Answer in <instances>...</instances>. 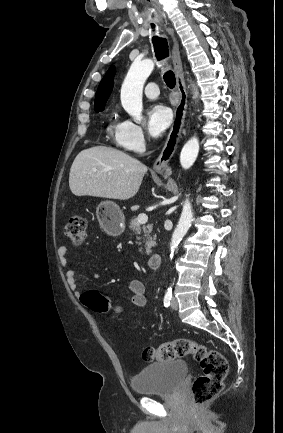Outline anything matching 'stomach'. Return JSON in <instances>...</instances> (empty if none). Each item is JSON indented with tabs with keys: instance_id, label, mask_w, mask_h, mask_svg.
<instances>
[{
	"instance_id": "1",
	"label": "stomach",
	"mask_w": 283,
	"mask_h": 433,
	"mask_svg": "<svg viewBox=\"0 0 283 433\" xmlns=\"http://www.w3.org/2000/svg\"><path fill=\"white\" fill-rule=\"evenodd\" d=\"M97 219L102 223L104 231L111 237H118L125 231L124 214L112 200H103L96 208Z\"/></svg>"
}]
</instances>
